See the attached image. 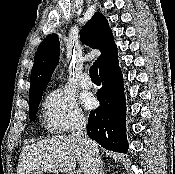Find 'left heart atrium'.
I'll list each match as a JSON object with an SVG mask.
<instances>
[{"label":"left heart atrium","mask_w":175,"mask_h":174,"mask_svg":"<svg viewBox=\"0 0 175 174\" xmlns=\"http://www.w3.org/2000/svg\"><path fill=\"white\" fill-rule=\"evenodd\" d=\"M82 103L87 109H91L95 105V99L91 94H84L82 96Z\"/></svg>","instance_id":"obj_1"}]
</instances>
